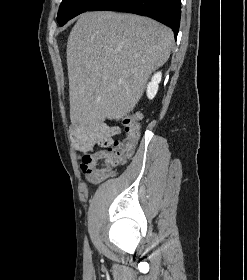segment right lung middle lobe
Listing matches in <instances>:
<instances>
[{
    "label": "right lung middle lobe",
    "mask_w": 247,
    "mask_h": 280,
    "mask_svg": "<svg viewBox=\"0 0 247 280\" xmlns=\"http://www.w3.org/2000/svg\"><path fill=\"white\" fill-rule=\"evenodd\" d=\"M99 1L100 0H63L57 16L59 25L63 26L75 16L90 10Z\"/></svg>",
    "instance_id": "obj_1"
}]
</instances>
